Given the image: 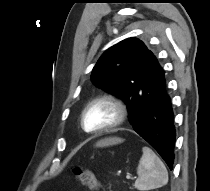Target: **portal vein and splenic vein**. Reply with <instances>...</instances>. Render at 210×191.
<instances>
[{"instance_id": "18ae733b", "label": "portal vein and splenic vein", "mask_w": 210, "mask_h": 191, "mask_svg": "<svg viewBox=\"0 0 210 191\" xmlns=\"http://www.w3.org/2000/svg\"><path fill=\"white\" fill-rule=\"evenodd\" d=\"M126 179H127V180H130V179H132V177H131L130 175H127V176H126Z\"/></svg>"}]
</instances>
